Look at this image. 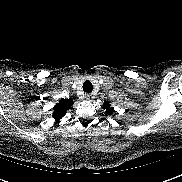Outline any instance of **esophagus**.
I'll list each match as a JSON object with an SVG mask.
<instances>
[{
    "label": "esophagus",
    "mask_w": 182,
    "mask_h": 182,
    "mask_svg": "<svg viewBox=\"0 0 182 182\" xmlns=\"http://www.w3.org/2000/svg\"><path fill=\"white\" fill-rule=\"evenodd\" d=\"M85 98H86L87 100L91 101V100L94 99V95L91 94V93H88V94L85 95Z\"/></svg>",
    "instance_id": "1"
}]
</instances>
